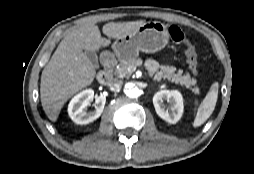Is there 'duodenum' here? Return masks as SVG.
<instances>
[{"label": "duodenum", "instance_id": "obj_1", "mask_svg": "<svg viewBox=\"0 0 254 174\" xmlns=\"http://www.w3.org/2000/svg\"><path fill=\"white\" fill-rule=\"evenodd\" d=\"M116 66L115 59L110 55H105L102 58V69L97 74V81L102 85L111 83L113 79V71Z\"/></svg>", "mask_w": 254, "mask_h": 174}]
</instances>
